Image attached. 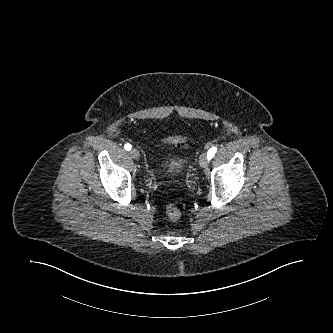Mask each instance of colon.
Masks as SVG:
<instances>
[{"mask_svg": "<svg viewBox=\"0 0 333 333\" xmlns=\"http://www.w3.org/2000/svg\"><path fill=\"white\" fill-rule=\"evenodd\" d=\"M186 141H187V138H185V137H174V138L169 139V142L172 144H180V143H184ZM166 213H167L168 217L173 221L180 219V217L182 215L181 210L177 206L171 205V204L166 206Z\"/></svg>", "mask_w": 333, "mask_h": 333, "instance_id": "1", "label": "colon"}]
</instances>
